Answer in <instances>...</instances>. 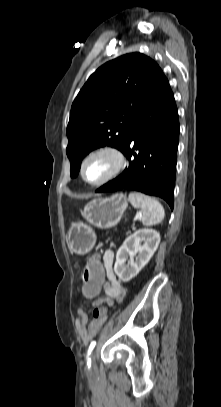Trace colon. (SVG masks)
Segmentation results:
<instances>
[{
	"mask_svg": "<svg viewBox=\"0 0 221 407\" xmlns=\"http://www.w3.org/2000/svg\"><path fill=\"white\" fill-rule=\"evenodd\" d=\"M86 269L82 274V290L81 297L84 300H93L97 297L96 292H103L106 284V273L102 258H89L86 261ZM109 307L107 305H97L93 311V315L98 318H106L108 316Z\"/></svg>",
	"mask_w": 221,
	"mask_h": 407,
	"instance_id": "5ec220e1",
	"label": "colon"
}]
</instances>
